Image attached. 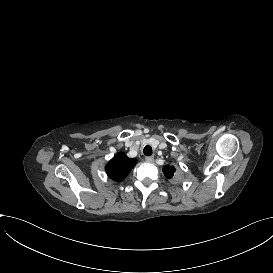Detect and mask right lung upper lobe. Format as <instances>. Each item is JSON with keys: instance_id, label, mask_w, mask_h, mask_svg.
<instances>
[{"instance_id": "right-lung-upper-lobe-1", "label": "right lung upper lobe", "mask_w": 273, "mask_h": 273, "mask_svg": "<svg viewBox=\"0 0 273 273\" xmlns=\"http://www.w3.org/2000/svg\"><path fill=\"white\" fill-rule=\"evenodd\" d=\"M136 165V160L128 158L124 153H118L106 165L107 175L114 181H122Z\"/></svg>"}]
</instances>
